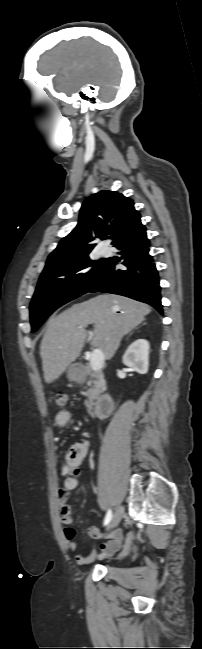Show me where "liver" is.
<instances>
[{"label":"liver","instance_id":"obj_1","mask_svg":"<svg viewBox=\"0 0 202 649\" xmlns=\"http://www.w3.org/2000/svg\"><path fill=\"white\" fill-rule=\"evenodd\" d=\"M150 312L144 303L104 294L54 316L40 345L45 382H54L80 356L89 324H94L91 345L101 349L105 359H111L121 339Z\"/></svg>","mask_w":202,"mask_h":649}]
</instances>
